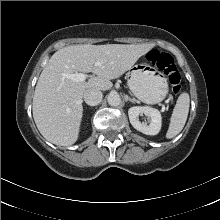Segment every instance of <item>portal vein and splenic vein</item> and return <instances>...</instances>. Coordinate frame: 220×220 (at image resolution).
<instances>
[{
  "label": "portal vein and splenic vein",
  "mask_w": 220,
  "mask_h": 220,
  "mask_svg": "<svg viewBox=\"0 0 220 220\" xmlns=\"http://www.w3.org/2000/svg\"><path fill=\"white\" fill-rule=\"evenodd\" d=\"M102 63L101 62H95V66H100ZM64 78L71 79L75 82H84L87 79V75L84 73H74V74H68V73H63L62 74ZM162 109H164V105L162 104Z\"/></svg>",
  "instance_id": "obj_1"
}]
</instances>
